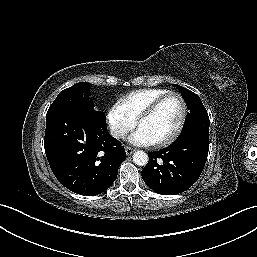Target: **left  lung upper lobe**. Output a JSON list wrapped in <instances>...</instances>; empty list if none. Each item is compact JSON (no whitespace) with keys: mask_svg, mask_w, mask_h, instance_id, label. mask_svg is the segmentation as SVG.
Returning a JSON list of instances; mask_svg holds the SVG:
<instances>
[{"mask_svg":"<svg viewBox=\"0 0 257 257\" xmlns=\"http://www.w3.org/2000/svg\"><path fill=\"white\" fill-rule=\"evenodd\" d=\"M174 86L180 90L189 110L184 129L178 139L191 135L209 136L210 120L198 95L180 85Z\"/></svg>","mask_w":257,"mask_h":257,"instance_id":"obj_1","label":"left lung upper lobe"}]
</instances>
